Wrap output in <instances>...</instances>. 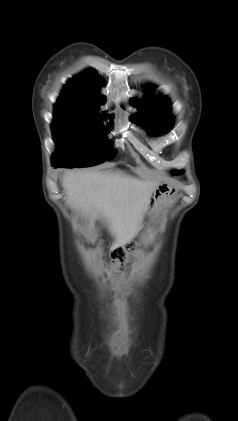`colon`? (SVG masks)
I'll use <instances>...</instances> for the list:
<instances>
[{
  "mask_svg": "<svg viewBox=\"0 0 238 421\" xmlns=\"http://www.w3.org/2000/svg\"><path fill=\"white\" fill-rule=\"evenodd\" d=\"M136 247L137 244L135 242H131L123 248L116 249L112 254V269L116 270L122 266H125L128 262L129 256L136 250Z\"/></svg>",
  "mask_w": 238,
  "mask_h": 421,
  "instance_id": "1",
  "label": "colon"
}]
</instances>
